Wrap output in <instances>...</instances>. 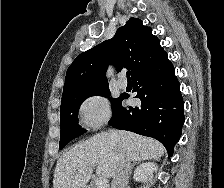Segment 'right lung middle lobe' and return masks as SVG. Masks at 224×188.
Here are the masks:
<instances>
[{
	"label": "right lung middle lobe",
	"mask_w": 224,
	"mask_h": 188,
	"mask_svg": "<svg viewBox=\"0 0 224 188\" xmlns=\"http://www.w3.org/2000/svg\"><path fill=\"white\" fill-rule=\"evenodd\" d=\"M94 95L110 97L111 93L108 85L62 94L60 107V149L72 139L86 132L85 129L80 128V125H78V110L85 99ZM120 98L121 96L116 99L110 98L113 108L118 104Z\"/></svg>",
	"instance_id": "1"
}]
</instances>
